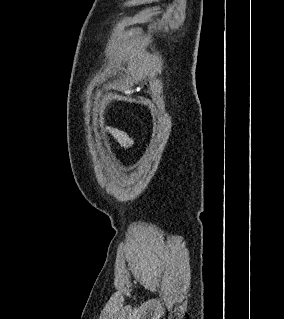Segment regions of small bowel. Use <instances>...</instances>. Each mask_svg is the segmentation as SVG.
Returning a JSON list of instances; mask_svg holds the SVG:
<instances>
[{
    "mask_svg": "<svg viewBox=\"0 0 284 319\" xmlns=\"http://www.w3.org/2000/svg\"><path fill=\"white\" fill-rule=\"evenodd\" d=\"M109 133L116 142L124 147H129L133 143V138L123 131L117 129H109Z\"/></svg>",
    "mask_w": 284,
    "mask_h": 319,
    "instance_id": "c3829d8e",
    "label": "small bowel"
}]
</instances>
